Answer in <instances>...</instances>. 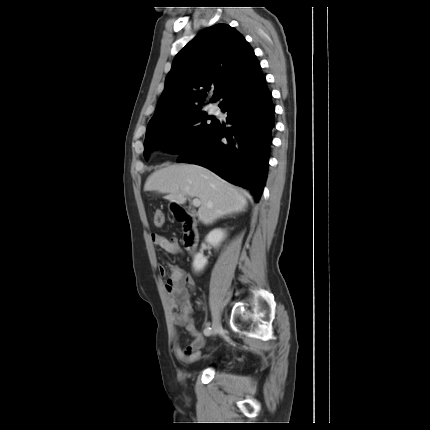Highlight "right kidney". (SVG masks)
I'll return each instance as SVG.
<instances>
[{"label": "right kidney", "instance_id": "ca27d5eb", "mask_svg": "<svg viewBox=\"0 0 430 430\" xmlns=\"http://www.w3.org/2000/svg\"><path fill=\"white\" fill-rule=\"evenodd\" d=\"M226 237L225 230L221 228H215L209 234L206 236L205 241L212 245L213 247L217 248L220 243L224 240ZM207 265V259L203 256V252H199L195 255L193 260V269L196 273L201 272L205 266Z\"/></svg>", "mask_w": 430, "mask_h": 430}]
</instances>
